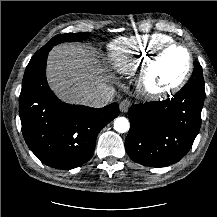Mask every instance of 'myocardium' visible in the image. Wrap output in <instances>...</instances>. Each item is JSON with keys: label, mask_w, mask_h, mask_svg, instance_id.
I'll return each instance as SVG.
<instances>
[{"label": "myocardium", "mask_w": 217, "mask_h": 217, "mask_svg": "<svg viewBox=\"0 0 217 217\" xmlns=\"http://www.w3.org/2000/svg\"><path fill=\"white\" fill-rule=\"evenodd\" d=\"M183 50L188 57V63L183 74L169 87L164 89L154 88L151 84V74L160 61V59L170 50ZM193 55L188 47L180 43L170 42L158 48L151 57L144 63L137 79V88L139 92L148 99H161L177 93L189 80L193 72Z\"/></svg>", "instance_id": "myocardium-1"}]
</instances>
